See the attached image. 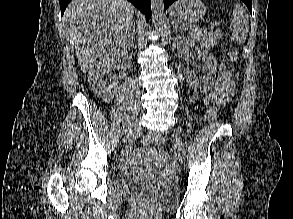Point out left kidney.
I'll use <instances>...</instances> for the list:
<instances>
[{
    "instance_id": "5707ae66",
    "label": "left kidney",
    "mask_w": 293,
    "mask_h": 219,
    "mask_svg": "<svg viewBox=\"0 0 293 219\" xmlns=\"http://www.w3.org/2000/svg\"><path fill=\"white\" fill-rule=\"evenodd\" d=\"M195 42L190 37L176 36L173 43L174 51L178 57H182L187 53ZM202 61L204 63L203 70L206 75L198 79L192 71L187 69L185 71V77L188 84L192 87L195 92L207 93L208 90L214 85L217 72V61L215 57L208 51L202 52Z\"/></svg>"
}]
</instances>
